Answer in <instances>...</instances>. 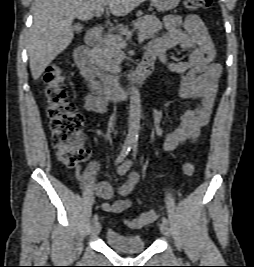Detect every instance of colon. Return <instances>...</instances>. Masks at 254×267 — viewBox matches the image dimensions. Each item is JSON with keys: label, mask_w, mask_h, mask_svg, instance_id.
<instances>
[{"label": "colon", "mask_w": 254, "mask_h": 267, "mask_svg": "<svg viewBox=\"0 0 254 267\" xmlns=\"http://www.w3.org/2000/svg\"><path fill=\"white\" fill-rule=\"evenodd\" d=\"M212 0H184V6L190 11L207 9ZM65 75L62 66L58 63L47 67L44 74L45 95L48 105L47 114L50 119L52 144L56 149L60 162L72 168H77L89 157L82 136L84 119L73 102L70 101L65 84ZM183 173L193 175V163L186 162L182 166ZM159 216L158 209H151L139 216L126 221L130 228H141Z\"/></svg>", "instance_id": "5ec220e1"}]
</instances>
